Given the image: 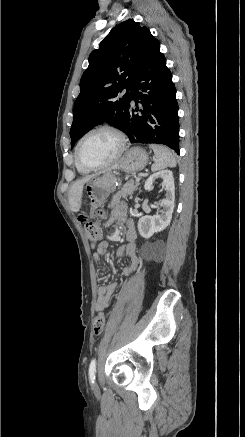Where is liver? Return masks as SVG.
<instances>
[{"instance_id":"liver-1","label":"liver","mask_w":245,"mask_h":437,"mask_svg":"<svg viewBox=\"0 0 245 437\" xmlns=\"http://www.w3.org/2000/svg\"><path fill=\"white\" fill-rule=\"evenodd\" d=\"M91 178L92 176L84 177L72 185L68 193V196H69L70 209L73 212H78L80 210L84 184L87 183Z\"/></svg>"}]
</instances>
